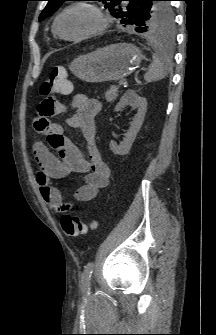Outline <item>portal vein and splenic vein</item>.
Here are the masks:
<instances>
[{"instance_id": "1", "label": "portal vein and splenic vein", "mask_w": 216, "mask_h": 335, "mask_svg": "<svg viewBox=\"0 0 216 335\" xmlns=\"http://www.w3.org/2000/svg\"><path fill=\"white\" fill-rule=\"evenodd\" d=\"M124 83H125V80H124V79H121V80H119V82H118V86L121 87V86L124 85Z\"/></svg>"}]
</instances>
